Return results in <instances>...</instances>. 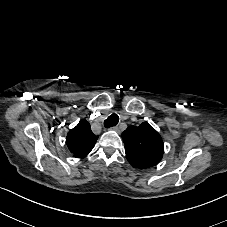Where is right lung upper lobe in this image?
I'll return each instance as SVG.
<instances>
[{
    "mask_svg": "<svg viewBox=\"0 0 227 227\" xmlns=\"http://www.w3.org/2000/svg\"><path fill=\"white\" fill-rule=\"evenodd\" d=\"M97 138L91 131L90 124L83 119L69 131L66 144L74 157L83 158L93 149Z\"/></svg>",
    "mask_w": 227,
    "mask_h": 227,
    "instance_id": "1",
    "label": "right lung upper lobe"
}]
</instances>
